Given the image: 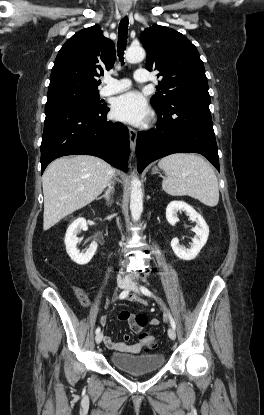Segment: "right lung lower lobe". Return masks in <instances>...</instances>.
<instances>
[{
	"label": "right lung lower lobe",
	"instance_id": "right-lung-lower-lobe-1",
	"mask_svg": "<svg viewBox=\"0 0 264 415\" xmlns=\"http://www.w3.org/2000/svg\"><path fill=\"white\" fill-rule=\"evenodd\" d=\"M109 108H66L46 112L41 143V173L54 159L71 154L102 158L127 171L129 131L122 123L107 120Z\"/></svg>",
	"mask_w": 264,
	"mask_h": 415
}]
</instances>
